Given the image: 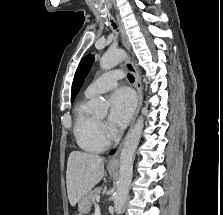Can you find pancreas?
Masks as SVG:
<instances>
[{
    "label": "pancreas",
    "instance_id": "1",
    "mask_svg": "<svg viewBox=\"0 0 223 215\" xmlns=\"http://www.w3.org/2000/svg\"><path fill=\"white\" fill-rule=\"evenodd\" d=\"M102 187H95V189H92V200H93V203H96V197L97 195L100 193Z\"/></svg>",
    "mask_w": 223,
    "mask_h": 215
}]
</instances>
